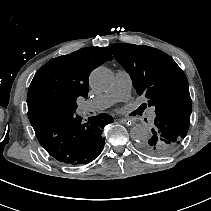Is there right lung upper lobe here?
Listing matches in <instances>:
<instances>
[{
  "instance_id": "1",
  "label": "right lung upper lobe",
  "mask_w": 211,
  "mask_h": 211,
  "mask_svg": "<svg viewBox=\"0 0 211 211\" xmlns=\"http://www.w3.org/2000/svg\"><path fill=\"white\" fill-rule=\"evenodd\" d=\"M112 59L104 47H87L44 64L28 90L30 123L37 125L72 113L77 108V98L87 97L90 73Z\"/></svg>"
}]
</instances>
